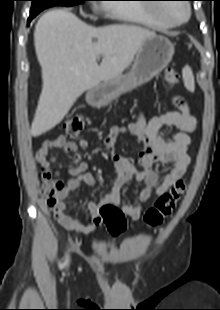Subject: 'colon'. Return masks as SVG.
<instances>
[{
  "instance_id": "1",
  "label": "colon",
  "mask_w": 220,
  "mask_h": 310,
  "mask_svg": "<svg viewBox=\"0 0 220 310\" xmlns=\"http://www.w3.org/2000/svg\"><path fill=\"white\" fill-rule=\"evenodd\" d=\"M167 85L175 86L179 83L178 72L173 68H167L164 73ZM85 126V117L82 114L68 116L63 122V128L67 135H78ZM43 190L50 206L56 205L58 196L64 189V183L57 174L45 171L42 176ZM187 187L184 179H179L169 190L160 194L144 215L147 227L156 228L170 218L178 202L183 197ZM100 217L112 235H120L126 229V219L123 211L112 203L104 204L100 208Z\"/></svg>"
}]
</instances>
